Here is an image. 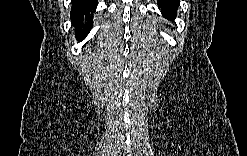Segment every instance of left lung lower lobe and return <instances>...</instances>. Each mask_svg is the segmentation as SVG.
Segmentation results:
<instances>
[{"label": "left lung lower lobe", "instance_id": "obj_1", "mask_svg": "<svg viewBox=\"0 0 247 156\" xmlns=\"http://www.w3.org/2000/svg\"><path fill=\"white\" fill-rule=\"evenodd\" d=\"M158 6L162 9V15L172 20L177 14L179 0H158Z\"/></svg>", "mask_w": 247, "mask_h": 156}]
</instances>
